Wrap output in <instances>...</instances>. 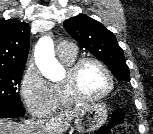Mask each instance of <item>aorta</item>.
Listing matches in <instances>:
<instances>
[{
  "mask_svg": "<svg viewBox=\"0 0 153 134\" xmlns=\"http://www.w3.org/2000/svg\"><path fill=\"white\" fill-rule=\"evenodd\" d=\"M35 62L42 75L52 80L61 70V65L55 58L54 44L51 38H41L35 48Z\"/></svg>",
  "mask_w": 153,
  "mask_h": 134,
  "instance_id": "1",
  "label": "aorta"
}]
</instances>
